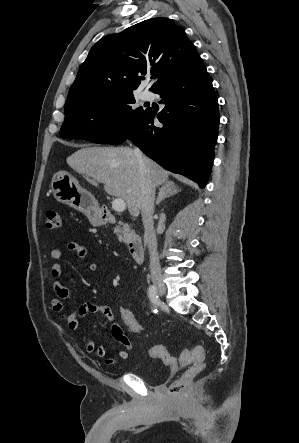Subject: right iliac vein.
<instances>
[{
  "label": "right iliac vein",
  "instance_id": "63e3f726",
  "mask_svg": "<svg viewBox=\"0 0 299 443\" xmlns=\"http://www.w3.org/2000/svg\"><path fill=\"white\" fill-rule=\"evenodd\" d=\"M152 282L154 284V286L156 287V289L158 290V292L163 295L166 292V287L162 281V278L159 276H153L152 277Z\"/></svg>",
  "mask_w": 299,
  "mask_h": 443
}]
</instances>
